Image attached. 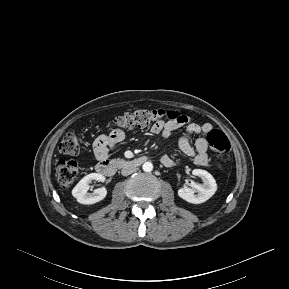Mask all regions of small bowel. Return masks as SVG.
I'll use <instances>...</instances> for the list:
<instances>
[{
  "label": "small bowel",
  "mask_w": 289,
  "mask_h": 289,
  "mask_svg": "<svg viewBox=\"0 0 289 289\" xmlns=\"http://www.w3.org/2000/svg\"><path fill=\"white\" fill-rule=\"evenodd\" d=\"M186 125L184 134L179 140L180 151L193 159V162L199 166H208L210 158L208 156V140L207 135L213 130L210 123L199 124L191 121L185 115H181L179 119L173 121H158L150 128L151 133L161 135L163 139L170 138L172 133L178 128ZM197 136L193 143V137ZM126 137V133L122 129H116L108 135H100L93 143V152L97 160L107 159L109 149H114ZM161 162L166 167H172L174 160L164 155Z\"/></svg>",
  "instance_id": "obj_1"
}]
</instances>
